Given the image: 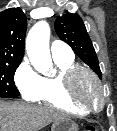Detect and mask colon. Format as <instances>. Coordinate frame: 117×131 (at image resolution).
Returning <instances> with one entry per match:
<instances>
[{"label": "colon", "mask_w": 117, "mask_h": 131, "mask_svg": "<svg viewBox=\"0 0 117 131\" xmlns=\"http://www.w3.org/2000/svg\"><path fill=\"white\" fill-rule=\"evenodd\" d=\"M84 131H97V129L94 126H86Z\"/></svg>", "instance_id": "1"}]
</instances>
